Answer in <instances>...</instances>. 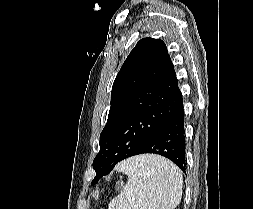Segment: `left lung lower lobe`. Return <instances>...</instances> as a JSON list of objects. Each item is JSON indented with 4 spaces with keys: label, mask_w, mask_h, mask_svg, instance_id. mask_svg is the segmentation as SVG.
<instances>
[{
    "label": "left lung lower lobe",
    "mask_w": 253,
    "mask_h": 209,
    "mask_svg": "<svg viewBox=\"0 0 253 209\" xmlns=\"http://www.w3.org/2000/svg\"><path fill=\"white\" fill-rule=\"evenodd\" d=\"M143 153H155L165 156L185 172V130L181 93L177 105L168 119L134 155ZM108 173L110 172H107L102 176ZM98 180L92 181L91 184H96Z\"/></svg>",
    "instance_id": "left-lung-lower-lobe-1"
}]
</instances>
